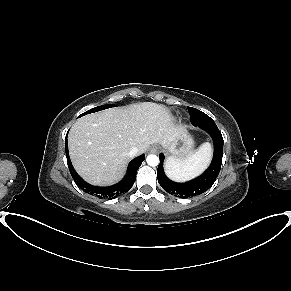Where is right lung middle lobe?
<instances>
[{"label":"right lung middle lobe","instance_id":"dd1d6c3e","mask_svg":"<svg viewBox=\"0 0 291 291\" xmlns=\"http://www.w3.org/2000/svg\"><path fill=\"white\" fill-rule=\"evenodd\" d=\"M114 106H115V105H101V106L95 107V108H93V109H90V110L84 112V113L81 114L79 117L84 116V115H86V114L93 113V112L101 111V110H104V109H107V108H110V107H114Z\"/></svg>","mask_w":291,"mask_h":291}]
</instances>
